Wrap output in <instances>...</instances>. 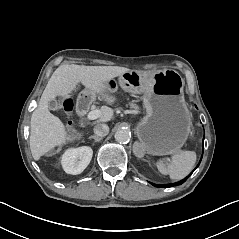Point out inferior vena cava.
Returning <instances> with one entry per match:
<instances>
[{"label":"inferior vena cava","instance_id":"obj_1","mask_svg":"<svg viewBox=\"0 0 239 239\" xmlns=\"http://www.w3.org/2000/svg\"><path fill=\"white\" fill-rule=\"evenodd\" d=\"M94 133L96 136H106L109 133V127L107 124H97L94 127Z\"/></svg>","mask_w":239,"mask_h":239}]
</instances>
